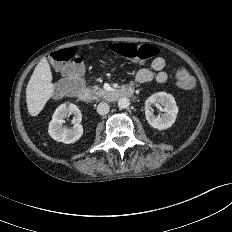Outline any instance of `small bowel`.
<instances>
[{"instance_id": "c3829d8e", "label": "small bowel", "mask_w": 232, "mask_h": 232, "mask_svg": "<svg viewBox=\"0 0 232 232\" xmlns=\"http://www.w3.org/2000/svg\"><path fill=\"white\" fill-rule=\"evenodd\" d=\"M166 62L163 57H156L151 62V68H141L135 73L134 80L136 83L144 84L151 81L157 83L166 82L168 75L164 71Z\"/></svg>"}]
</instances>
